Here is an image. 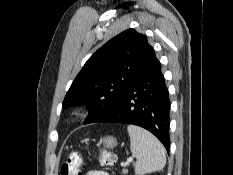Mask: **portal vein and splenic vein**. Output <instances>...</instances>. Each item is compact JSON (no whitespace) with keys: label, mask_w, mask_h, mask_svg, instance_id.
Segmentation results:
<instances>
[{"label":"portal vein and splenic vein","mask_w":233,"mask_h":175,"mask_svg":"<svg viewBox=\"0 0 233 175\" xmlns=\"http://www.w3.org/2000/svg\"><path fill=\"white\" fill-rule=\"evenodd\" d=\"M132 161H133V158H132V157H129V158L127 159V161L124 163V165L130 164V162H132Z\"/></svg>","instance_id":"portal-vein-and-splenic-vein-1"}]
</instances>
